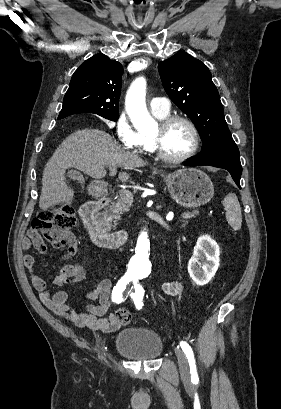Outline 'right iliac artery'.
<instances>
[{
  "instance_id": "82829eb1",
  "label": "right iliac artery",
  "mask_w": 281,
  "mask_h": 409,
  "mask_svg": "<svg viewBox=\"0 0 281 409\" xmlns=\"http://www.w3.org/2000/svg\"><path fill=\"white\" fill-rule=\"evenodd\" d=\"M131 280L132 277L130 275H124L120 280H118L112 292V301L114 303L119 304L127 299L129 295L128 284Z\"/></svg>"
}]
</instances>
